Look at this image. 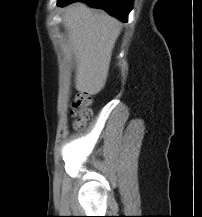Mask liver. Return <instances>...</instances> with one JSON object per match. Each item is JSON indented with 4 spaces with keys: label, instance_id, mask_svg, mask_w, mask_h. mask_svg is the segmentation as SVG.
<instances>
[{
    "label": "liver",
    "instance_id": "liver-1",
    "mask_svg": "<svg viewBox=\"0 0 202 217\" xmlns=\"http://www.w3.org/2000/svg\"><path fill=\"white\" fill-rule=\"evenodd\" d=\"M62 23L76 62L75 87L80 93L96 95L106 83L121 23L83 3L67 7Z\"/></svg>",
    "mask_w": 202,
    "mask_h": 217
}]
</instances>
